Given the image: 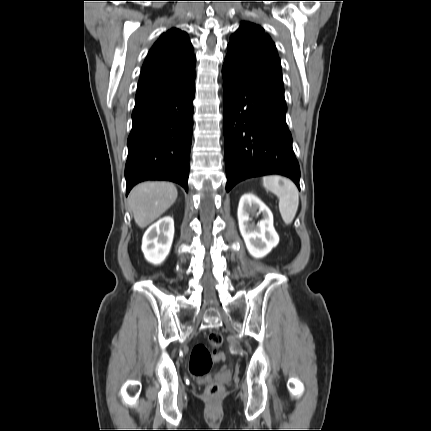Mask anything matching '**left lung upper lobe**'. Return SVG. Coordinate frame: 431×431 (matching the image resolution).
<instances>
[{"label":"left lung upper lobe","mask_w":431,"mask_h":431,"mask_svg":"<svg viewBox=\"0 0 431 431\" xmlns=\"http://www.w3.org/2000/svg\"><path fill=\"white\" fill-rule=\"evenodd\" d=\"M222 71L284 99L280 59L260 26L245 22L231 37Z\"/></svg>","instance_id":"5c2ea615"}]
</instances>
